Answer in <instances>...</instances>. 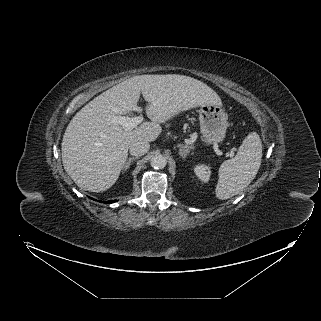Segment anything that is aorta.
<instances>
[{"label": "aorta", "mask_w": 321, "mask_h": 321, "mask_svg": "<svg viewBox=\"0 0 321 321\" xmlns=\"http://www.w3.org/2000/svg\"><path fill=\"white\" fill-rule=\"evenodd\" d=\"M150 164L155 169H162L166 166L167 159L162 154H155L152 156V158L150 160Z\"/></svg>", "instance_id": "762f6f07"}]
</instances>
